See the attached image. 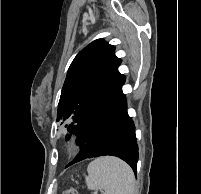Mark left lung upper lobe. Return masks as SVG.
<instances>
[{
    "label": "left lung upper lobe",
    "instance_id": "left-lung-upper-lobe-1",
    "mask_svg": "<svg viewBox=\"0 0 201 194\" xmlns=\"http://www.w3.org/2000/svg\"><path fill=\"white\" fill-rule=\"evenodd\" d=\"M114 46L102 39L82 49L71 63L59 100L57 121L75 134L125 83ZM67 140L70 135L66 136Z\"/></svg>",
    "mask_w": 201,
    "mask_h": 194
}]
</instances>
